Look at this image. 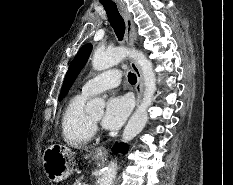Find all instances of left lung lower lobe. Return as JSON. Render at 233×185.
<instances>
[{"instance_id":"1","label":"left lung lower lobe","mask_w":233,"mask_h":185,"mask_svg":"<svg viewBox=\"0 0 233 185\" xmlns=\"http://www.w3.org/2000/svg\"><path fill=\"white\" fill-rule=\"evenodd\" d=\"M112 151L115 153H125L127 151V146L124 143H120L119 145L116 143L115 146L112 148Z\"/></svg>"}]
</instances>
